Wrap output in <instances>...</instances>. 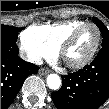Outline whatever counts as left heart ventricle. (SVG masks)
<instances>
[{"mask_svg":"<svg viewBox=\"0 0 109 109\" xmlns=\"http://www.w3.org/2000/svg\"><path fill=\"white\" fill-rule=\"evenodd\" d=\"M97 40L94 27H86L78 36L76 42L66 51L65 59L75 63L84 59L93 49Z\"/></svg>","mask_w":109,"mask_h":109,"instance_id":"b2bd125f","label":"left heart ventricle"}]
</instances>
